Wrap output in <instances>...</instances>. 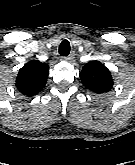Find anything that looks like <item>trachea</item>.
Returning <instances> with one entry per match:
<instances>
[{"mask_svg": "<svg viewBox=\"0 0 135 165\" xmlns=\"http://www.w3.org/2000/svg\"><path fill=\"white\" fill-rule=\"evenodd\" d=\"M70 43L68 40H63L59 46V54L61 56H68L70 53Z\"/></svg>", "mask_w": 135, "mask_h": 165, "instance_id": "1", "label": "trachea"}]
</instances>
